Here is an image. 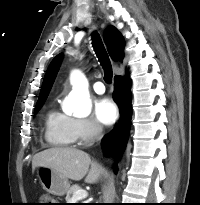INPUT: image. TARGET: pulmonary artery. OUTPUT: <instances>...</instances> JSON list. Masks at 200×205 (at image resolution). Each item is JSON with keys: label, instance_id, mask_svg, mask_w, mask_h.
Wrapping results in <instances>:
<instances>
[{"label": "pulmonary artery", "instance_id": "obj_1", "mask_svg": "<svg viewBox=\"0 0 200 205\" xmlns=\"http://www.w3.org/2000/svg\"><path fill=\"white\" fill-rule=\"evenodd\" d=\"M93 89L97 94H103L105 92V86L100 81L94 83Z\"/></svg>", "mask_w": 200, "mask_h": 205}]
</instances>
